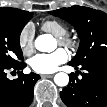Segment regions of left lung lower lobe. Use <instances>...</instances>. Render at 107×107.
<instances>
[{"mask_svg": "<svg viewBox=\"0 0 107 107\" xmlns=\"http://www.w3.org/2000/svg\"><path fill=\"white\" fill-rule=\"evenodd\" d=\"M69 65L85 72L81 80L72 74L71 82L60 92L62 101L68 107H106L107 58L94 59L80 66Z\"/></svg>", "mask_w": 107, "mask_h": 107, "instance_id": "left-lung-lower-lobe-1", "label": "left lung lower lobe"}]
</instances>
